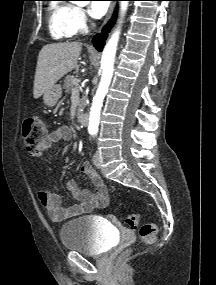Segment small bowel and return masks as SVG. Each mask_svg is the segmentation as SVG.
<instances>
[{
	"instance_id": "1",
	"label": "small bowel",
	"mask_w": 216,
	"mask_h": 285,
	"mask_svg": "<svg viewBox=\"0 0 216 285\" xmlns=\"http://www.w3.org/2000/svg\"><path fill=\"white\" fill-rule=\"evenodd\" d=\"M73 136L72 130L66 125L59 126L53 130L43 149L47 150L60 141H69ZM67 151L64 149L63 153ZM82 172L88 176L95 186V191L80 189L73 180L68 181L67 190L77 199V203L62 207L59 195L55 191H40L38 198L47 210L50 218L55 222H61L73 217L90 213L95 208H102L108 204L109 196L106 186L102 183L95 169L88 162L81 166Z\"/></svg>"
}]
</instances>
